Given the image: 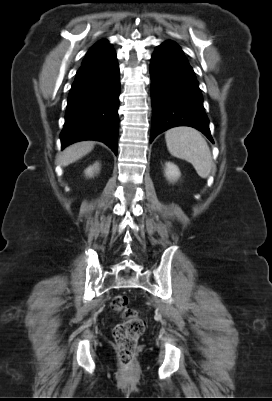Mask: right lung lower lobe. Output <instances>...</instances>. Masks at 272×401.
<instances>
[{"label": "right lung lower lobe", "mask_w": 272, "mask_h": 401, "mask_svg": "<svg viewBox=\"0 0 272 401\" xmlns=\"http://www.w3.org/2000/svg\"><path fill=\"white\" fill-rule=\"evenodd\" d=\"M120 76L112 46L85 57L72 84L60 134L62 148L97 140L117 154Z\"/></svg>", "instance_id": "98d812e1"}]
</instances>
